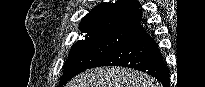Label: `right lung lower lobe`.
Masks as SVG:
<instances>
[{
  "label": "right lung lower lobe",
  "instance_id": "98d812e1",
  "mask_svg": "<svg viewBox=\"0 0 205 87\" xmlns=\"http://www.w3.org/2000/svg\"><path fill=\"white\" fill-rule=\"evenodd\" d=\"M100 66L130 67L155 77L165 87H169V69L166 67L158 44L142 29L131 35L90 68Z\"/></svg>",
  "mask_w": 205,
  "mask_h": 87
}]
</instances>
